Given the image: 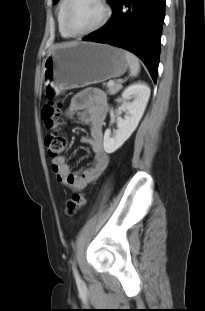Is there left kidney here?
Here are the masks:
<instances>
[{
  "instance_id": "obj_1",
  "label": "left kidney",
  "mask_w": 205,
  "mask_h": 311,
  "mask_svg": "<svg viewBox=\"0 0 205 311\" xmlns=\"http://www.w3.org/2000/svg\"><path fill=\"white\" fill-rule=\"evenodd\" d=\"M150 88L145 83H135L127 87L122 93L121 105L117 110V127L114 135L107 129L104 134V150L111 154L119 149L137 128L146 109ZM130 99H133L129 102ZM124 111L126 115H119Z\"/></svg>"
}]
</instances>
